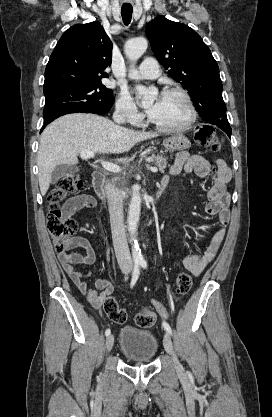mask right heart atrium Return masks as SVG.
Segmentation results:
<instances>
[{"mask_svg": "<svg viewBox=\"0 0 272 417\" xmlns=\"http://www.w3.org/2000/svg\"><path fill=\"white\" fill-rule=\"evenodd\" d=\"M115 113L119 119L131 124H137L142 119V114L127 92L119 94L115 105Z\"/></svg>", "mask_w": 272, "mask_h": 417, "instance_id": "obj_1", "label": "right heart atrium"}]
</instances>
